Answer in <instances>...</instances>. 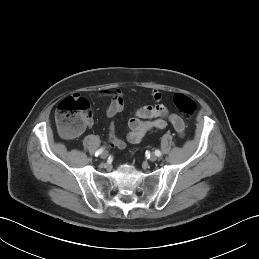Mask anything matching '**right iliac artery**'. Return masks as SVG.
Segmentation results:
<instances>
[{
	"mask_svg": "<svg viewBox=\"0 0 259 259\" xmlns=\"http://www.w3.org/2000/svg\"><path fill=\"white\" fill-rule=\"evenodd\" d=\"M102 151H103V148L98 149V150L95 152V156L100 155V154L102 153Z\"/></svg>",
	"mask_w": 259,
	"mask_h": 259,
	"instance_id": "82829eb1",
	"label": "right iliac artery"
}]
</instances>
